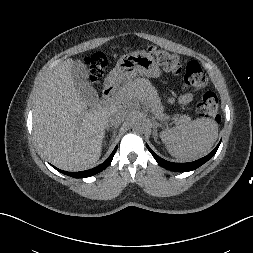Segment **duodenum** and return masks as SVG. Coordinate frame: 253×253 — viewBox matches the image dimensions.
Masks as SVG:
<instances>
[{"label":"duodenum","instance_id":"410a0bca","mask_svg":"<svg viewBox=\"0 0 253 253\" xmlns=\"http://www.w3.org/2000/svg\"><path fill=\"white\" fill-rule=\"evenodd\" d=\"M113 87L111 85V82H107L104 89H103V98L105 100H110L113 96Z\"/></svg>","mask_w":253,"mask_h":253}]
</instances>
